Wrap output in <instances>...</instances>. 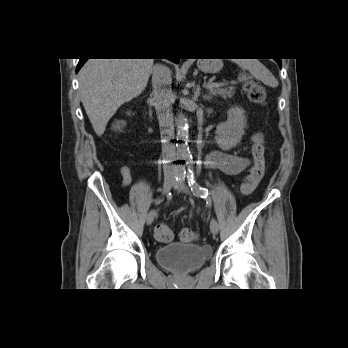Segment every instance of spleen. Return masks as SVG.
Segmentation results:
<instances>
[{
  "mask_svg": "<svg viewBox=\"0 0 348 348\" xmlns=\"http://www.w3.org/2000/svg\"><path fill=\"white\" fill-rule=\"evenodd\" d=\"M234 62L241 68L248 70L257 80L275 88L278 81L273 74L257 59H235Z\"/></svg>",
  "mask_w": 348,
  "mask_h": 348,
  "instance_id": "spleen-1",
  "label": "spleen"
}]
</instances>
